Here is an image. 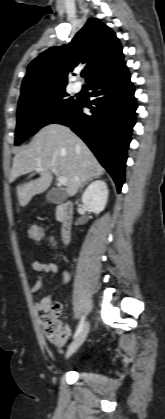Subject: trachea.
Wrapping results in <instances>:
<instances>
[{
    "label": "trachea",
    "instance_id": "trachea-1",
    "mask_svg": "<svg viewBox=\"0 0 165 419\" xmlns=\"http://www.w3.org/2000/svg\"><path fill=\"white\" fill-rule=\"evenodd\" d=\"M85 75H86V72L85 71H82L81 76L82 77H85Z\"/></svg>",
    "mask_w": 165,
    "mask_h": 419
}]
</instances>
